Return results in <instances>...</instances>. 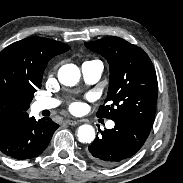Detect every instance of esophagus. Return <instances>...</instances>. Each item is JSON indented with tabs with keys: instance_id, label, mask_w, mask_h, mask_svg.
<instances>
[{
	"instance_id": "1",
	"label": "esophagus",
	"mask_w": 183,
	"mask_h": 183,
	"mask_svg": "<svg viewBox=\"0 0 183 183\" xmlns=\"http://www.w3.org/2000/svg\"><path fill=\"white\" fill-rule=\"evenodd\" d=\"M65 123L68 124V125H77V124H79V120L67 119V120L65 121Z\"/></svg>"
}]
</instances>
